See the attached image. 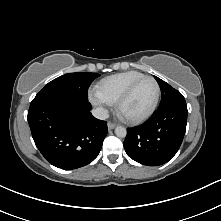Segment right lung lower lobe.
Wrapping results in <instances>:
<instances>
[{
  "mask_svg": "<svg viewBox=\"0 0 221 221\" xmlns=\"http://www.w3.org/2000/svg\"><path fill=\"white\" fill-rule=\"evenodd\" d=\"M88 99L47 98L30 104L28 123L44 158L58 168L72 170L92 162L108 133L107 122L91 113Z\"/></svg>",
  "mask_w": 221,
  "mask_h": 221,
  "instance_id": "98d812e1",
  "label": "right lung lower lobe"
}]
</instances>
